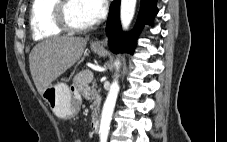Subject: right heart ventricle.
Here are the masks:
<instances>
[{
    "mask_svg": "<svg viewBox=\"0 0 227 142\" xmlns=\"http://www.w3.org/2000/svg\"><path fill=\"white\" fill-rule=\"evenodd\" d=\"M58 0H33L30 27L35 40H44L63 33L53 21V8Z\"/></svg>",
    "mask_w": 227,
    "mask_h": 142,
    "instance_id": "e07e8e85",
    "label": "right heart ventricle"
}]
</instances>
